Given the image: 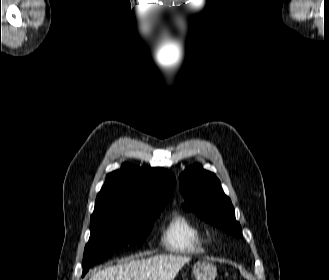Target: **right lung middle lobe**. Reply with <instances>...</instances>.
Listing matches in <instances>:
<instances>
[{"label": "right lung middle lobe", "instance_id": "obj_1", "mask_svg": "<svg viewBox=\"0 0 329 280\" xmlns=\"http://www.w3.org/2000/svg\"><path fill=\"white\" fill-rule=\"evenodd\" d=\"M167 202L158 200L148 206H137L109 201L96 205L91 216V235L84 250L82 276L113 251L142 243Z\"/></svg>", "mask_w": 329, "mask_h": 280}]
</instances>
